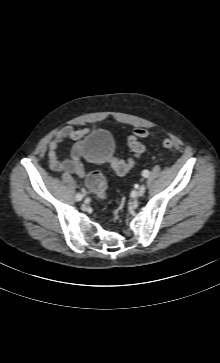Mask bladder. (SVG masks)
Here are the masks:
<instances>
[{"label": "bladder", "instance_id": "bladder-1", "mask_svg": "<svg viewBox=\"0 0 220 363\" xmlns=\"http://www.w3.org/2000/svg\"><path fill=\"white\" fill-rule=\"evenodd\" d=\"M113 140L104 129L91 131L81 145L82 155L92 164L107 161L113 154Z\"/></svg>", "mask_w": 220, "mask_h": 363}]
</instances>
